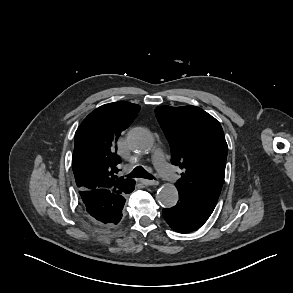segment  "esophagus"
Wrapping results in <instances>:
<instances>
[{
	"mask_svg": "<svg viewBox=\"0 0 293 293\" xmlns=\"http://www.w3.org/2000/svg\"><path fill=\"white\" fill-rule=\"evenodd\" d=\"M140 182L144 184L145 186H150V185H158L159 182L156 180H147V179H140Z\"/></svg>",
	"mask_w": 293,
	"mask_h": 293,
	"instance_id": "34e87169",
	"label": "esophagus"
}]
</instances>
